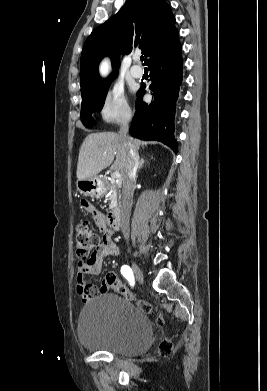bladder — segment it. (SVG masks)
Wrapping results in <instances>:
<instances>
[{
    "label": "bladder",
    "instance_id": "bladder-1",
    "mask_svg": "<svg viewBox=\"0 0 267 391\" xmlns=\"http://www.w3.org/2000/svg\"><path fill=\"white\" fill-rule=\"evenodd\" d=\"M78 337L89 350L137 356L150 347L153 329L135 304L117 294H103L82 308Z\"/></svg>",
    "mask_w": 267,
    "mask_h": 391
}]
</instances>
